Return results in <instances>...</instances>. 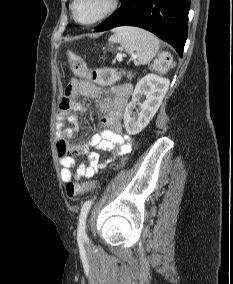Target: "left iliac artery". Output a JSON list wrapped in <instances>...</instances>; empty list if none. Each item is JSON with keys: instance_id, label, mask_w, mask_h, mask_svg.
<instances>
[{"instance_id": "left-iliac-artery-1", "label": "left iliac artery", "mask_w": 233, "mask_h": 284, "mask_svg": "<svg viewBox=\"0 0 233 284\" xmlns=\"http://www.w3.org/2000/svg\"><path fill=\"white\" fill-rule=\"evenodd\" d=\"M91 205H92V200H87L83 204L81 208V212H80V219H79V225H78V237L83 238L85 241L88 240L87 235L85 233V221H86L88 212L91 208Z\"/></svg>"}]
</instances>
